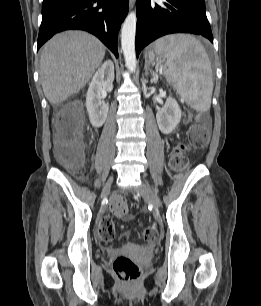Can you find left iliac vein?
Returning <instances> with one entry per match:
<instances>
[{
    "mask_svg": "<svg viewBox=\"0 0 261 306\" xmlns=\"http://www.w3.org/2000/svg\"><path fill=\"white\" fill-rule=\"evenodd\" d=\"M136 191L143 197L144 200L148 201L155 207L159 208L161 206L159 197L151 190L147 183L141 184L139 187H137Z\"/></svg>",
    "mask_w": 261,
    "mask_h": 306,
    "instance_id": "left-iliac-vein-1",
    "label": "left iliac vein"
}]
</instances>
